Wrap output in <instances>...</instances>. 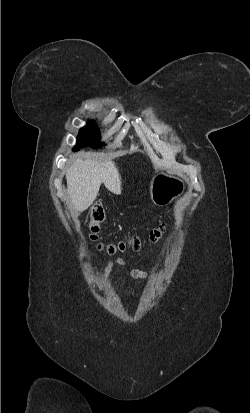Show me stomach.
I'll return each instance as SVG.
<instances>
[{"instance_id": "1", "label": "stomach", "mask_w": 250, "mask_h": 413, "mask_svg": "<svg viewBox=\"0 0 250 413\" xmlns=\"http://www.w3.org/2000/svg\"><path fill=\"white\" fill-rule=\"evenodd\" d=\"M184 191L185 182L183 179L165 173L157 174L150 183L151 199L157 206L169 205Z\"/></svg>"}]
</instances>
